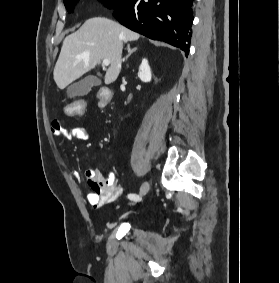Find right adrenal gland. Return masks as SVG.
Segmentation results:
<instances>
[{"label":"right adrenal gland","mask_w":280,"mask_h":283,"mask_svg":"<svg viewBox=\"0 0 280 283\" xmlns=\"http://www.w3.org/2000/svg\"><path fill=\"white\" fill-rule=\"evenodd\" d=\"M127 49H128V55L123 59V62L127 60L133 52L137 51V47L131 49L130 45L127 46Z\"/></svg>","instance_id":"right-adrenal-gland-1"}]
</instances>
